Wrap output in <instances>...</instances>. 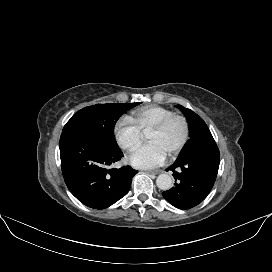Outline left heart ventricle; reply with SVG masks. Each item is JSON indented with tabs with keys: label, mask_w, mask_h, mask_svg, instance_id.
<instances>
[{
	"label": "left heart ventricle",
	"mask_w": 272,
	"mask_h": 272,
	"mask_svg": "<svg viewBox=\"0 0 272 272\" xmlns=\"http://www.w3.org/2000/svg\"><path fill=\"white\" fill-rule=\"evenodd\" d=\"M182 131L181 123L174 121L162 132L150 131L148 141L159 143L166 152H169L180 140Z\"/></svg>",
	"instance_id": "obj_1"
}]
</instances>
